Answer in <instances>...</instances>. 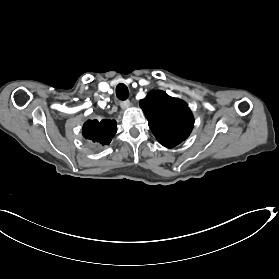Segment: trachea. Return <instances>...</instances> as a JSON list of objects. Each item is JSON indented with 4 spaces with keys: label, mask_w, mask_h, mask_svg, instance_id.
Segmentation results:
<instances>
[{
    "label": "trachea",
    "mask_w": 279,
    "mask_h": 279,
    "mask_svg": "<svg viewBox=\"0 0 279 279\" xmlns=\"http://www.w3.org/2000/svg\"><path fill=\"white\" fill-rule=\"evenodd\" d=\"M116 96L120 100H126L129 96V90L127 86L123 83H120L116 87Z\"/></svg>",
    "instance_id": "obj_1"
}]
</instances>
